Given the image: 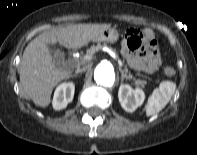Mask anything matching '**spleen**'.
<instances>
[{"instance_id":"1","label":"spleen","mask_w":197,"mask_h":155,"mask_svg":"<svg viewBox=\"0 0 197 155\" xmlns=\"http://www.w3.org/2000/svg\"><path fill=\"white\" fill-rule=\"evenodd\" d=\"M176 90V84L171 81H163L149 96L144 111L147 116L160 112L171 100Z\"/></svg>"}]
</instances>
